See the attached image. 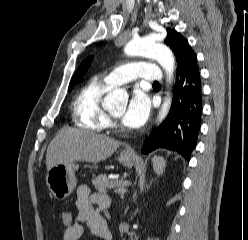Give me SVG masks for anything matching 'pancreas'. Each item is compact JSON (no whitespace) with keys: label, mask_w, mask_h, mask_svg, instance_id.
Here are the masks:
<instances>
[{"label":"pancreas","mask_w":248,"mask_h":240,"mask_svg":"<svg viewBox=\"0 0 248 240\" xmlns=\"http://www.w3.org/2000/svg\"><path fill=\"white\" fill-rule=\"evenodd\" d=\"M92 184L99 192H106L107 188L111 187L115 188L114 192L121 194V196L126 192V189L124 188L125 184L122 181H118V183H116V181H110L106 174H101L98 177H95L92 180Z\"/></svg>","instance_id":"pancreas-1"}]
</instances>
